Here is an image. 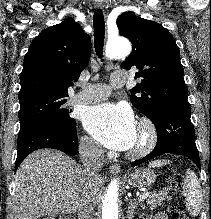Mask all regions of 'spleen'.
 Here are the masks:
<instances>
[{
	"label": "spleen",
	"instance_id": "1",
	"mask_svg": "<svg viewBox=\"0 0 211 219\" xmlns=\"http://www.w3.org/2000/svg\"><path fill=\"white\" fill-rule=\"evenodd\" d=\"M170 163L166 160H156L149 163L150 167H160ZM183 193L186 199V208L191 216H198L202 208L203 195L200 182L192 170L185 174Z\"/></svg>",
	"mask_w": 211,
	"mask_h": 219
}]
</instances>
